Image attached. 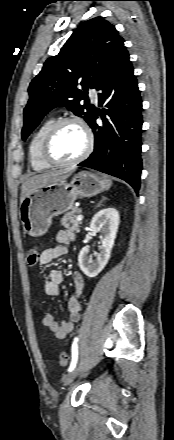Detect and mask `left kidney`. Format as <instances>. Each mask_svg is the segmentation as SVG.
Returning a JSON list of instances; mask_svg holds the SVG:
<instances>
[{
    "label": "left kidney",
    "mask_w": 174,
    "mask_h": 440,
    "mask_svg": "<svg viewBox=\"0 0 174 440\" xmlns=\"http://www.w3.org/2000/svg\"><path fill=\"white\" fill-rule=\"evenodd\" d=\"M120 223L119 212L115 208L102 209L94 215L90 228L100 233V252L92 260L88 256V247H83L78 256V264L88 277H96L108 263Z\"/></svg>",
    "instance_id": "5707ae66"
}]
</instances>
